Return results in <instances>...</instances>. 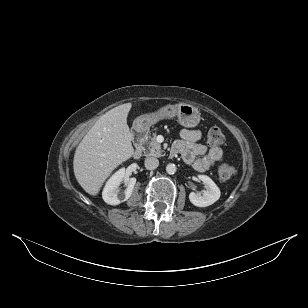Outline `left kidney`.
<instances>
[{"mask_svg": "<svg viewBox=\"0 0 308 308\" xmlns=\"http://www.w3.org/2000/svg\"><path fill=\"white\" fill-rule=\"evenodd\" d=\"M198 178L205 184L206 190L202 195L191 192L189 194L190 202L197 207L210 206L220 198V189L210 177L198 175Z\"/></svg>", "mask_w": 308, "mask_h": 308, "instance_id": "left-kidney-1", "label": "left kidney"}]
</instances>
